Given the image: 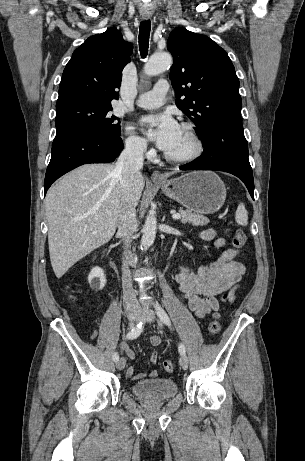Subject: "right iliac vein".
Returning <instances> with one entry per match:
<instances>
[{"mask_svg": "<svg viewBox=\"0 0 305 461\" xmlns=\"http://www.w3.org/2000/svg\"><path fill=\"white\" fill-rule=\"evenodd\" d=\"M126 317L132 325L135 324L139 320V314L137 313L136 309L133 307H130L126 310ZM125 365H126V361L124 358H121L116 362V368L118 370L124 369Z\"/></svg>", "mask_w": 305, "mask_h": 461, "instance_id": "right-iliac-vein-1", "label": "right iliac vein"}]
</instances>
